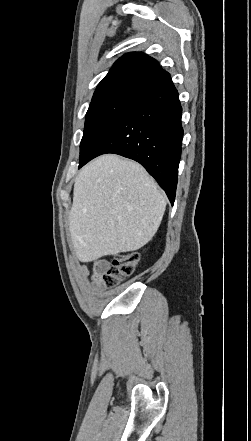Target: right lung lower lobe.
I'll return each instance as SVG.
<instances>
[{"instance_id": "obj_1", "label": "right lung lower lobe", "mask_w": 251, "mask_h": 441, "mask_svg": "<svg viewBox=\"0 0 251 441\" xmlns=\"http://www.w3.org/2000/svg\"><path fill=\"white\" fill-rule=\"evenodd\" d=\"M178 92L168 78L139 98L103 135L87 159L106 153L139 162L175 200L183 128Z\"/></svg>"}]
</instances>
